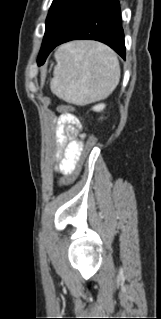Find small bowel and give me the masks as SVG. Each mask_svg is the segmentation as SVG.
I'll list each match as a JSON object with an SVG mask.
<instances>
[{
    "mask_svg": "<svg viewBox=\"0 0 161 319\" xmlns=\"http://www.w3.org/2000/svg\"><path fill=\"white\" fill-rule=\"evenodd\" d=\"M56 158L59 163L56 171L63 175L73 172L80 156L83 142L82 126L78 118L71 113H61L56 117Z\"/></svg>",
    "mask_w": 161,
    "mask_h": 319,
    "instance_id": "small-bowel-1",
    "label": "small bowel"
}]
</instances>
